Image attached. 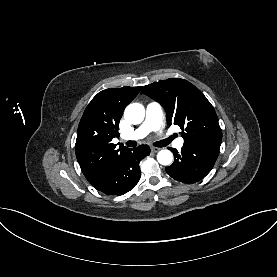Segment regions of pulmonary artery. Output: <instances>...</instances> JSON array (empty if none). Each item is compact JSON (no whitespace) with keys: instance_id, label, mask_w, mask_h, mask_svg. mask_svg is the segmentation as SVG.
<instances>
[{"instance_id":"1","label":"pulmonary artery","mask_w":277,"mask_h":277,"mask_svg":"<svg viewBox=\"0 0 277 277\" xmlns=\"http://www.w3.org/2000/svg\"><path fill=\"white\" fill-rule=\"evenodd\" d=\"M162 122V108L160 104L151 102L146 107V117L144 122L130 135L127 139L137 140L142 139L148 135L151 131H156L160 128ZM170 139V138H169ZM184 144L182 137L177 138L173 142V146L177 149H181Z\"/></svg>"}]
</instances>
